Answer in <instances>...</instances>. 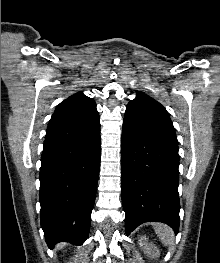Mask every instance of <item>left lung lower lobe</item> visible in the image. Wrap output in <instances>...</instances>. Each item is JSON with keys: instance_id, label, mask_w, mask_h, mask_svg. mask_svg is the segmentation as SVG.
Masks as SVG:
<instances>
[{"instance_id": "0a47b994", "label": "left lung lower lobe", "mask_w": 220, "mask_h": 263, "mask_svg": "<svg viewBox=\"0 0 220 263\" xmlns=\"http://www.w3.org/2000/svg\"><path fill=\"white\" fill-rule=\"evenodd\" d=\"M122 204L126 234L144 222H163L179 232L178 144L123 121Z\"/></svg>"}]
</instances>
